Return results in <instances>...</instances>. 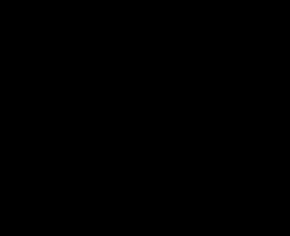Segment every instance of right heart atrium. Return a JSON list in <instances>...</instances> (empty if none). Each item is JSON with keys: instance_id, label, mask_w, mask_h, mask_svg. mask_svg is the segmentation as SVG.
Instances as JSON below:
<instances>
[{"instance_id": "right-heart-atrium-1", "label": "right heart atrium", "mask_w": 290, "mask_h": 236, "mask_svg": "<svg viewBox=\"0 0 290 236\" xmlns=\"http://www.w3.org/2000/svg\"><path fill=\"white\" fill-rule=\"evenodd\" d=\"M125 93L134 113L137 115L143 114L147 104V99L144 94L130 83L125 85Z\"/></svg>"}]
</instances>
